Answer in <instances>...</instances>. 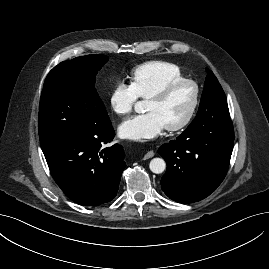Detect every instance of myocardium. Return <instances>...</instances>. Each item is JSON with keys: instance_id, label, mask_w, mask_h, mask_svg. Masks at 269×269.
<instances>
[{"instance_id": "myocardium-1", "label": "myocardium", "mask_w": 269, "mask_h": 269, "mask_svg": "<svg viewBox=\"0 0 269 269\" xmlns=\"http://www.w3.org/2000/svg\"><path fill=\"white\" fill-rule=\"evenodd\" d=\"M186 84L191 85L194 88V97H193L191 107H190L188 113L186 114V116L180 122L173 124V125L166 126V129L168 131L175 132V131L183 130L192 121V119L197 111L199 101H200V87H199L198 83L192 79H187V78L170 81L167 84H165L162 88H160L156 92L152 93L147 98V100H163L175 88H177L181 85H186Z\"/></svg>"}]
</instances>
